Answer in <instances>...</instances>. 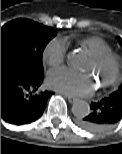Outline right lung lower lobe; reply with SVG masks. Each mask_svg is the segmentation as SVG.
Segmentation results:
<instances>
[{
    "label": "right lung lower lobe",
    "mask_w": 122,
    "mask_h": 154,
    "mask_svg": "<svg viewBox=\"0 0 122 154\" xmlns=\"http://www.w3.org/2000/svg\"><path fill=\"white\" fill-rule=\"evenodd\" d=\"M43 78L25 58L1 53V117L5 121L29 124L43 114L50 96L41 89Z\"/></svg>",
    "instance_id": "right-lung-lower-lobe-1"
}]
</instances>
